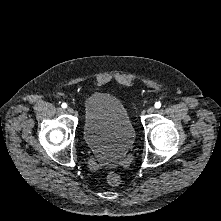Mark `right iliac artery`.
<instances>
[{
  "label": "right iliac artery",
  "mask_w": 221,
  "mask_h": 221,
  "mask_svg": "<svg viewBox=\"0 0 221 221\" xmlns=\"http://www.w3.org/2000/svg\"><path fill=\"white\" fill-rule=\"evenodd\" d=\"M61 106H62V108H66V107H67V104H66V103H63Z\"/></svg>",
  "instance_id": "obj_1"
}]
</instances>
